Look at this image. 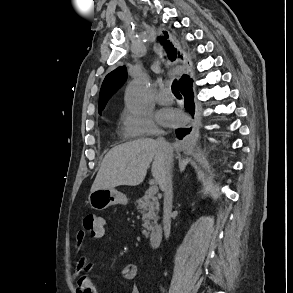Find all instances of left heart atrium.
I'll return each mask as SVG.
<instances>
[{"instance_id": "left-heart-atrium-1", "label": "left heart atrium", "mask_w": 293, "mask_h": 293, "mask_svg": "<svg viewBox=\"0 0 293 293\" xmlns=\"http://www.w3.org/2000/svg\"><path fill=\"white\" fill-rule=\"evenodd\" d=\"M158 121L164 126H175L181 123V114L174 109H161L157 114Z\"/></svg>"}]
</instances>
